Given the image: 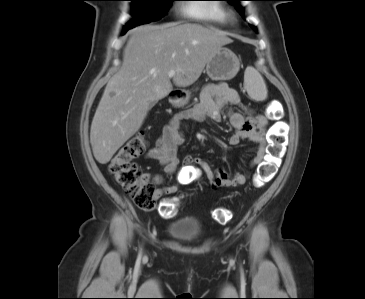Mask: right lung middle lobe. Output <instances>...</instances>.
<instances>
[{
	"mask_svg": "<svg viewBox=\"0 0 365 299\" xmlns=\"http://www.w3.org/2000/svg\"><path fill=\"white\" fill-rule=\"evenodd\" d=\"M132 1L133 19L124 28H133L137 25L160 19L175 0H130Z\"/></svg>",
	"mask_w": 365,
	"mask_h": 299,
	"instance_id": "dd1d6c3e",
	"label": "right lung middle lobe"
}]
</instances>
